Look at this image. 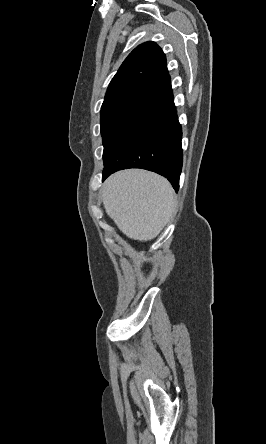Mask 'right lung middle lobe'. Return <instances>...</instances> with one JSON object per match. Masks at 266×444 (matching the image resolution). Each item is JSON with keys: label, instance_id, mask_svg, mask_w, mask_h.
<instances>
[{"label": "right lung middle lobe", "instance_id": "dd1d6c3e", "mask_svg": "<svg viewBox=\"0 0 266 444\" xmlns=\"http://www.w3.org/2000/svg\"><path fill=\"white\" fill-rule=\"evenodd\" d=\"M166 105L156 97L142 94L103 104L100 115L104 162Z\"/></svg>", "mask_w": 266, "mask_h": 444}]
</instances>
